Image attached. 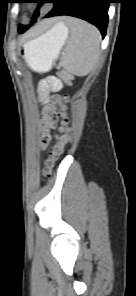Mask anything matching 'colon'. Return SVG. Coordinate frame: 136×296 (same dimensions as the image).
<instances>
[{
    "mask_svg": "<svg viewBox=\"0 0 136 296\" xmlns=\"http://www.w3.org/2000/svg\"><path fill=\"white\" fill-rule=\"evenodd\" d=\"M53 80V79H50ZM67 96H55L51 99L50 105L45 112V119L43 122V131L40 134L39 142L43 149L48 150V158L45 163V173H48L52 168L56 159L62 153L63 146L66 142V135H61L57 138L56 143L51 144V135L49 129L62 117H64L65 109L62 101H66Z\"/></svg>",
    "mask_w": 136,
    "mask_h": 296,
    "instance_id": "1",
    "label": "colon"
}]
</instances>
